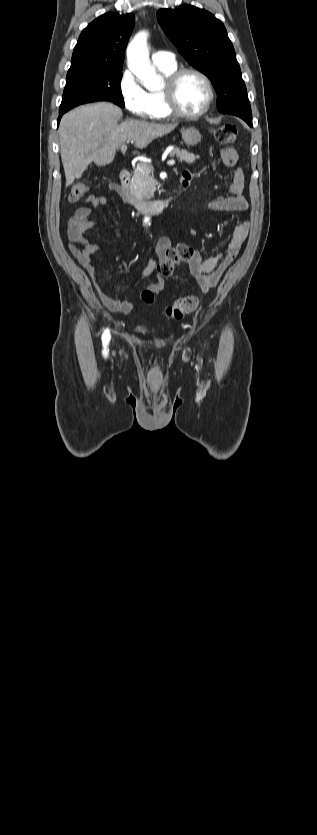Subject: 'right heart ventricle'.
<instances>
[{
    "label": "right heart ventricle",
    "instance_id": "e07e8e85",
    "mask_svg": "<svg viewBox=\"0 0 317 835\" xmlns=\"http://www.w3.org/2000/svg\"><path fill=\"white\" fill-rule=\"evenodd\" d=\"M160 72L165 76L168 77L171 73H173L177 67L176 64L173 66H160L158 67ZM148 97L151 105V117L154 119H164L170 117L172 114L167 106L163 89L158 90H151L148 92Z\"/></svg>",
    "mask_w": 317,
    "mask_h": 835
}]
</instances>
